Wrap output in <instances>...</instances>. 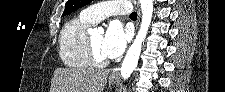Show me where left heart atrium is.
Returning a JSON list of instances; mask_svg holds the SVG:
<instances>
[{
	"label": "left heart atrium",
	"instance_id": "left-heart-atrium-1",
	"mask_svg": "<svg viewBox=\"0 0 225 92\" xmlns=\"http://www.w3.org/2000/svg\"><path fill=\"white\" fill-rule=\"evenodd\" d=\"M129 34V31L123 27L121 22L118 20L111 21L103 37V55L108 59L120 56L129 40Z\"/></svg>",
	"mask_w": 225,
	"mask_h": 92
}]
</instances>
